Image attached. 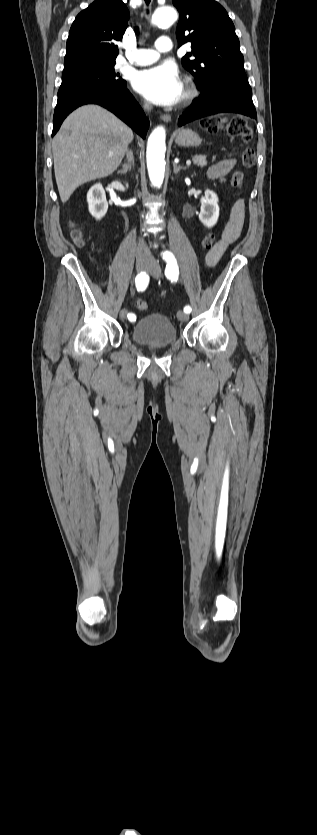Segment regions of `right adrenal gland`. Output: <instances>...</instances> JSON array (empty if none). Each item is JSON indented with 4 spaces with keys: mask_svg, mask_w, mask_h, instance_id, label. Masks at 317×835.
Here are the masks:
<instances>
[{
    "mask_svg": "<svg viewBox=\"0 0 317 835\" xmlns=\"http://www.w3.org/2000/svg\"><path fill=\"white\" fill-rule=\"evenodd\" d=\"M126 158H127V162L123 165L122 170L118 171V174H126L127 171L131 170V167L134 164L132 151H129L128 149L126 150Z\"/></svg>",
    "mask_w": 317,
    "mask_h": 835,
    "instance_id": "2a0ac1e0",
    "label": "right adrenal gland"
}]
</instances>
